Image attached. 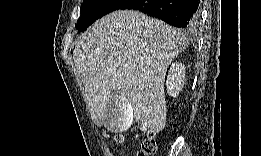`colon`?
Instances as JSON below:
<instances>
[{"label": "colon", "mask_w": 261, "mask_h": 156, "mask_svg": "<svg viewBox=\"0 0 261 156\" xmlns=\"http://www.w3.org/2000/svg\"><path fill=\"white\" fill-rule=\"evenodd\" d=\"M113 139L120 143L123 141V136L121 134H116L113 136ZM157 150L158 147L155 141V135L153 132H150L148 138L142 143L140 155H155Z\"/></svg>", "instance_id": "5ec220e1"}]
</instances>
